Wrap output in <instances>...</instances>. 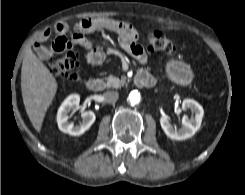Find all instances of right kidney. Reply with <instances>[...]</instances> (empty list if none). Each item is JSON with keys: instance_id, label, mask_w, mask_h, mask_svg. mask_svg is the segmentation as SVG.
Returning a JSON list of instances; mask_svg holds the SVG:
<instances>
[{"instance_id": "1", "label": "right kidney", "mask_w": 245, "mask_h": 195, "mask_svg": "<svg viewBox=\"0 0 245 195\" xmlns=\"http://www.w3.org/2000/svg\"><path fill=\"white\" fill-rule=\"evenodd\" d=\"M80 96L78 94L69 95L61 104L57 113V123L60 131L72 136H79L88 130L95 121V114L92 111H85L81 114L82 122L74 125L68 121L69 112L79 108Z\"/></svg>"}]
</instances>
